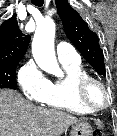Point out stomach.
Wrapping results in <instances>:
<instances>
[{
  "label": "stomach",
  "instance_id": "1",
  "mask_svg": "<svg viewBox=\"0 0 117 136\" xmlns=\"http://www.w3.org/2000/svg\"><path fill=\"white\" fill-rule=\"evenodd\" d=\"M92 134V127L86 122L76 123L70 132V136H92Z\"/></svg>",
  "mask_w": 117,
  "mask_h": 136
}]
</instances>
